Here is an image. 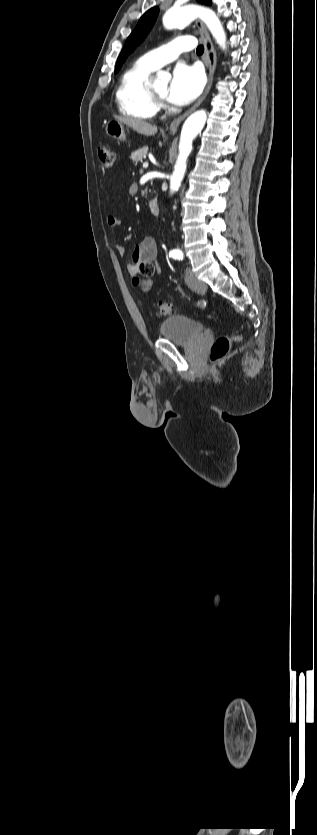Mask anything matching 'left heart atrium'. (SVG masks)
<instances>
[{
  "label": "left heart atrium",
  "instance_id": "left-heart-atrium-1",
  "mask_svg": "<svg viewBox=\"0 0 317 835\" xmlns=\"http://www.w3.org/2000/svg\"><path fill=\"white\" fill-rule=\"evenodd\" d=\"M204 76L197 66L178 64L168 87V100L175 105L192 102L202 91Z\"/></svg>",
  "mask_w": 317,
  "mask_h": 835
}]
</instances>
